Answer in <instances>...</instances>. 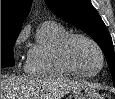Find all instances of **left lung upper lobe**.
<instances>
[{
  "label": "left lung upper lobe",
  "mask_w": 115,
  "mask_h": 99,
  "mask_svg": "<svg viewBox=\"0 0 115 99\" xmlns=\"http://www.w3.org/2000/svg\"><path fill=\"white\" fill-rule=\"evenodd\" d=\"M50 10L64 21L91 36L107 59L115 85V54L112 38L90 0H45Z\"/></svg>",
  "instance_id": "obj_1"
}]
</instances>
